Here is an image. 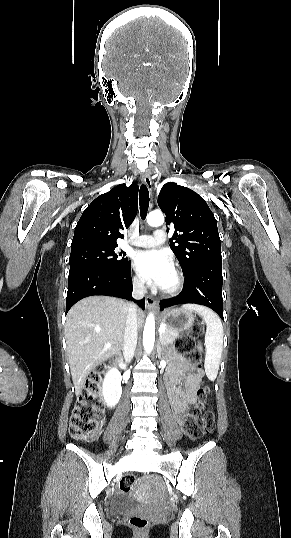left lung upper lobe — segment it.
I'll list each match as a JSON object with an SVG mask.
<instances>
[{"instance_id":"1","label":"left lung upper lobe","mask_w":291,"mask_h":538,"mask_svg":"<svg viewBox=\"0 0 291 538\" xmlns=\"http://www.w3.org/2000/svg\"><path fill=\"white\" fill-rule=\"evenodd\" d=\"M158 204L166 214V224L175 228L170 248L184 275L200 264L222 261L217 222L203 198L187 187L168 182L160 191Z\"/></svg>"}]
</instances>
